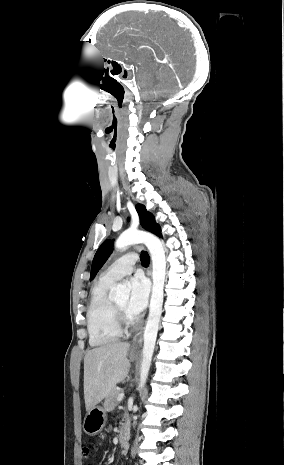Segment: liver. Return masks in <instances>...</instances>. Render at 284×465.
Listing matches in <instances>:
<instances>
[{"label": "liver", "instance_id": "6515ba94", "mask_svg": "<svg viewBox=\"0 0 284 465\" xmlns=\"http://www.w3.org/2000/svg\"><path fill=\"white\" fill-rule=\"evenodd\" d=\"M129 343H106L84 357V399L86 411L95 409L108 393L126 379L130 363Z\"/></svg>", "mask_w": 284, "mask_h": 465}]
</instances>
